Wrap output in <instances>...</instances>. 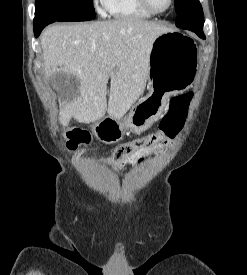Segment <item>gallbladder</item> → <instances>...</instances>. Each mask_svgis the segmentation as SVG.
I'll return each instance as SVG.
<instances>
[{
  "label": "gallbladder",
  "instance_id": "bac80fb5",
  "mask_svg": "<svg viewBox=\"0 0 247 275\" xmlns=\"http://www.w3.org/2000/svg\"><path fill=\"white\" fill-rule=\"evenodd\" d=\"M48 83L61 95L64 96L69 92H78L79 81L76 77L65 74V73H56L49 77Z\"/></svg>",
  "mask_w": 247,
  "mask_h": 275
}]
</instances>
